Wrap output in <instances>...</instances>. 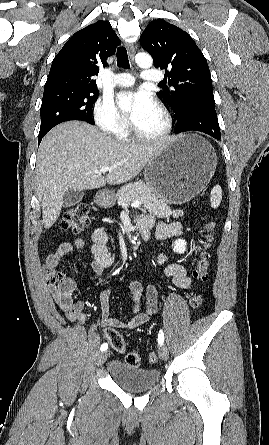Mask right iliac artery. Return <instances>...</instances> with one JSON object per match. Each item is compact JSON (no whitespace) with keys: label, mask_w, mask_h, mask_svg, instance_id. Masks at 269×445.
<instances>
[{"label":"right iliac artery","mask_w":269,"mask_h":445,"mask_svg":"<svg viewBox=\"0 0 269 445\" xmlns=\"http://www.w3.org/2000/svg\"><path fill=\"white\" fill-rule=\"evenodd\" d=\"M107 348H108V344H107V343H103V344L101 345V347H100V350H101V351H105V350H107Z\"/></svg>","instance_id":"82829eb1"}]
</instances>
